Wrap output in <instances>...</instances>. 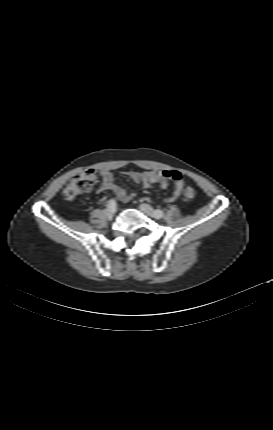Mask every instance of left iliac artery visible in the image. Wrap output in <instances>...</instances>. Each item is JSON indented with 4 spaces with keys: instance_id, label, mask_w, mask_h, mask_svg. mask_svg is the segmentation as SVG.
Masks as SVG:
<instances>
[{
    "instance_id": "1",
    "label": "left iliac artery",
    "mask_w": 273,
    "mask_h": 430,
    "mask_svg": "<svg viewBox=\"0 0 273 430\" xmlns=\"http://www.w3.org/2000/svg\"><path fill=\"white\" fill-rule=\"evenodd\" d=\"M155 214L158 219L163 217V212L161 210H155Z\"/></svg>"
}]
</instances>
